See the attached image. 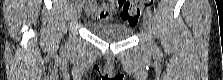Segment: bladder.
<instances>
[{
  "instance_id": "1",
  "label": "bladder",
  "mask_w": 223,
  "mask_h": 80,
  "mask_svg": "<svg viewBox=\"0 0 223 80\" xmlns=\"http://www.w3.org/2000/svg\"><path fill=\"white\" fill-rule=\"evenodd\" d=\"M85 25L91 34L107 41H122L133 34L131 27L116 23L87 21Z\"/></svg>"
}]
</instances>
